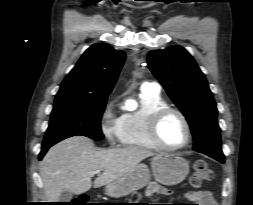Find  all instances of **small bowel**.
<instances>
[{"label":"small bowel","instance_id":"obj_1","mask_svg":"<svg viewBox=\"0 0 253 205\" xmlns=\"http://www.w3.org/2000/svg\"><path fill=\"white\" fill-rule=\"evenodd\" d=\"M148 196H152L154 194H169V190L164 188L163 186L157 183H151L147 187L146 191ZM186 198L191 202L197 203L195 205H216L213 197L208 191L194 190L186 193Z\"/></svg>","mask_w":253,"mask_h":205}]
</instances>
